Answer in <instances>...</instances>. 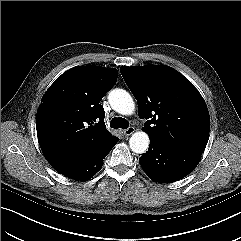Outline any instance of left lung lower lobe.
<instances>
[{"label": "left lung lower lobe", "mask_w": 241, "mask_h": 241, "mask_svg": "<svg viewBox=\"0 0 241 241\" xmlns=\"http://www.w3.org/2000/svg\"><path fill=\"white\" fill-rule=\"evenodd\" d=\"M201 155L179 151L150 141L148 151L140 158V164L155 182H174L189 174Z\"/></svg>", "instance_id": "1"}]
</instances>
